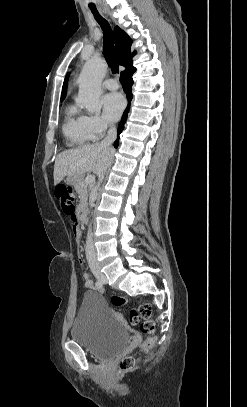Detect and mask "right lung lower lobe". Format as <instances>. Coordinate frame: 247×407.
I'll use <instances>...</instances> for the list:
<instances>
[{"label": "right lung lower lobe", "instance_id": "98d812e1", "mask_svg": "<svg viewBox=\"0 0 247 407\" xmlns=\"http://www.w3.org/2000/svg\"><path fill=\"white\" fill-rule=\"evenodd\" d=\"M136 71V68L132 66L126 68L124 71L121 72L120 74V82L123 86V89L126 93L129 105L132 99V85H133V79H132V75L134 74V72ZM129 111V107L126 108V110L124 111V114L122 116V120L119 123L118 126V133H120L123 129H124V124L127 118V114ZM119 144V139L117 138V140L114 142V146L115 148L118 147Z\"/></svg>", "mask_w": 247, "mask_h": 407}]
</instances>
